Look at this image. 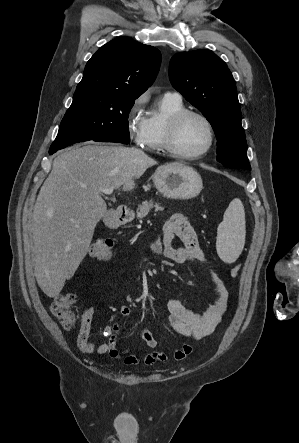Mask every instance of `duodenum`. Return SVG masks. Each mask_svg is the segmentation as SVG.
Here are the masks:
<instances>
[{
    "label": "duodenum",
    "instance_id": "410a0bca",
    "mask_svg": "<svg viewBox=\"0 0 299 443\" xmlns=\"http://www.w3.org/2000/svg\"><path fill=\"white\" fill-rule=\"evenodd\" d=\"M131 218V214L127 209H116L113 211L112 213V217H111V223L114 226H118L121 225L127 221H129V219Z\"/></svg>",
    "mask_w": 299,
    "mask_h": 443
}]
</instances>
